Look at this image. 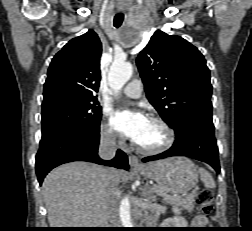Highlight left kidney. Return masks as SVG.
Segmentation results:
<instances>
[{
    "instance_id": "1",
    "label": "left kidney",
    "mask_w": 252,
    "mask_h": 231,
    "mask_svg": "<svg viewBox=\"0 0 252 231\" xmlns=\"http://www.w3.org/2000/svg\"><path fill=\"white\" fill-rule=\"evenodd\" d=\"M173 212L175 213L176 216L174 218L167 219L165 221V224L169 228H186L188 226V222L186 221L185 218L178 216L179 214H181L180 209L174 207Z\"/></svg>"
}]
</instances>
